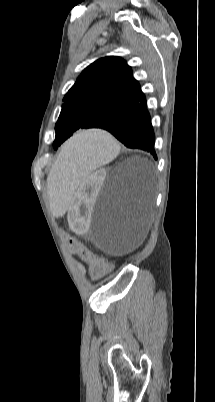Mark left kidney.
Instances as JSON below:
<instances>
[{"label": "left kidney", "instance_id": "left-kidney-1", "mask_svg": "<svg viewBox=\"0 0 215 402\" xmlns=\"http://www.w3.org/2000/svg\"><path fill=\"white\" fill-rule=\"evenodd\" d=\"M106 176L105 169H98L97 173L93 174V178L81 185V192L73 197L68 223L72 226L73 235L79 239L84 237L83 232L88 231V222L92 220L90 202L96 200L97 193L101 191L102 178Z\"/></svg>", "mask_w": 215, "mask_h": 402}]
</instances>
